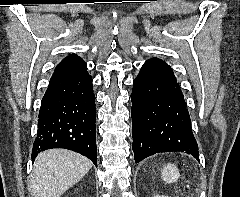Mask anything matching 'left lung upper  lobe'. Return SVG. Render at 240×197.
Masks as SVG:
<instances>
[{
  "mask_svg": "<svg viewBox=\"0 0 240 197\" xmlns=\"http://www.w3.org/2000/svg\"><path fill=\"white\" fill-rule=\"evenodd\" d=\"M144 67L149 68H162V69H171L169 65H167L164 61L158 59V58H152L145 62Z\"/></svg>",
  "mask_w": 240,
  "mask_h": 197,
  "instance_id": "left-lung-upper-lobe-1",
  "label": "left lung upper lobe"
}]
</instances>
